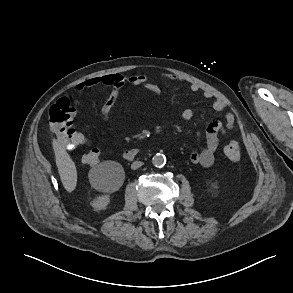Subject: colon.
Wrapping results in <instances>:
<instances>
[{
  "mask_svg": "<svg viewBox=\"0 0 293 293\" xmlns=\"http://www.w3.org/2000/svg\"><path fill=\"white\" fill-rule=\"evenodd\" d=\"M74 115L75 109L68 97L58 99L49 110V126L65 148H79L86 144L85 137L73 127ZM224 153L229 160H238L240 158L238 142L229 141L224 147ZM99 155V149L91 148L82 156L81 161L84 165L93 166L98 162Z\"/></svg>",
  "mask_w": 293,
  "mask_h": 293,
  "instance_id": "1",
  "label": "colon"
}]
</instances>
